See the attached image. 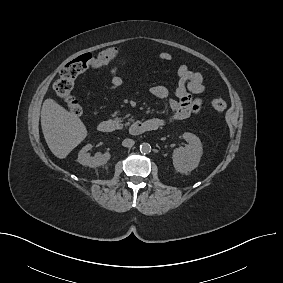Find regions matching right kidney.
<instances>
[{"instance_id": "1", "label": "right kidney", "mask_w": 283, "mask_h": 283, "mask_svg": "<svg viewBox=\"0 0 283 283\" xmlns=\"http://www.w3.org/2000/svg\"><path fill=\"white\" fill-rule=\"evenodd\" d=\"M91 147L92 146L88 144L80 150L77 159L80 164H82L83 166L95 168L98 166H102L109 161L111 155L108 152H106L105 154L97 153L95 154V156H90L88 150H90Z\"/></svg>"}]
</instances>
